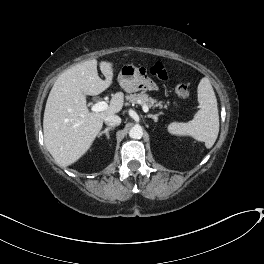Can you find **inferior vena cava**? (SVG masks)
I'll list each match as a JSON object with an SVG mask.
<instances>
[{"label":"inferior vena cava","mask_w":264,"mask_h":264,"mask_svg":"<svg viewBox=\"0 0 264 264\" xmlns=\"http://www.w3.org/2000/svg\"><path fill=\"white\" fill-rule=\"evenodd\" d=\"M104 121L106 125L114 127V126L120 125L121 118L117 115H112V116L107 117Z\"/></svg>","instance_id":"1"}]
</instances>
